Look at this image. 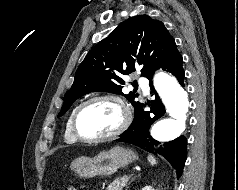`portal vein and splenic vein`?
I'll list each match as a JSON object with an SVG mask.
<instances>
[{
	"mask_svg": "<svg viewBox=\"0 0 238 190\" xmlns=\"http://www.w3.org/2000/svg\"><path fill=\"white\" fill-rule=\"evenodd\" d=\"M127 178H128V177H127L126 175L122 177V179H127Z\"/></svg>",
	"mask_w": 238,
	"mask_h": 190,
	"instance_id": "18ae733b",
	"label": "portal vein and splenic vein"
}]
</instances>
